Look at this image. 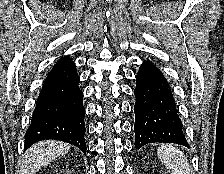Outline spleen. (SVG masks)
Wrapping results in <instances>:
<instances>
[{"label":"spleen","instance_id":"3e777b00","mask_svg":"<svg viewBox=\"0 0 224 174\" xmlns=\"http://www.w3.org/2000/svg\"><path fill=\"white\" fill-rule=\"evenodd\" d=\"M158 156L172 174H189V163L182 151L171 144H163L157 150Z\"/></svg>","mask_w":224,"mask_h":174}]
</instances>
